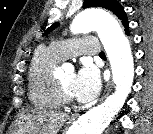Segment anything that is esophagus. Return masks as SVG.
Returning a JSON list of instances; mask_svg holds the SVG:
<instances>
[{
  "label": "esophagus",
  "mask_w": 153,
  "mask_h": 134,
  "mask_svg": "<svg viewBox=\"0 0 153 134\" xmlns=\"http://www.w3.org/2000/svg\"><path fill=\"white\" fill-rule=\"evenodd\" d=\"M112 86H113L112 82L109 81V82L107 83V85H106V88H105L104 94H103V96H102V98H101L100 101H103L104 98H105V97H106V96L111 92V90H112ZM73 118L75 119L76 116H74Z\"/></svg>",
  "instance_id": "1"
}]
</instances>
